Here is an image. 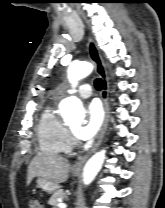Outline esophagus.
Masks as SVG:
<instances>
[{
	"mask_svg": "<svg viewBox=\"0 0 165 208\" xmlns=\"http://www.w3.org/2000/svg\"><path fill=\"white\" fill-rule=\"evenodd\" d=\"M88 51L90 58L94 64L95 70L97 74L100 76L102 79V92H101V98L103 101V106H104V121L103 125L101 127L98 140L93 146V148L86 153L83 157H81L73 166V170H81L84 163L87 161V159L90 157V155L96 151V149L100 146V144L103 141V138L105 136L106 130H107V125H108V116H109V105H108V90H109V83L105 71V66L102 60V57L100 55V52L96 46L95 41L93 40L92 37L88 38Z\"/></svg>",
	"mask_w": 165,
	"mask_h": 208,
	"instance_id": "34e87169",
	"label": "esophagus"
}]
</instances>
